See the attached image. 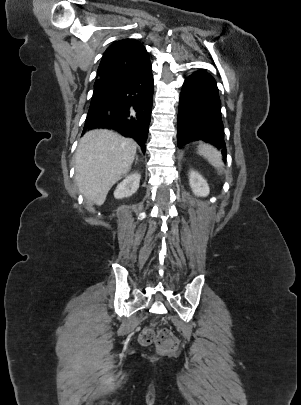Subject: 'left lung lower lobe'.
Listing matches in <instances>:
<instances>
[{"label":"left lung lower lobe","instance_id":"1","mask_svg":"<svg viewBox=\"0 0 301 405\" xmlns=\"http://www.w3.org/2000/svg\"><path fill=\"white\" fill-rule=\"evenodd\" d=\"M193 141L215 146L226 158L218 88L215 79L204 70L194 72L185 80L179 101L178 146Z\"/></svg>","mask_w":301,"mask_h":405}]
</instances>
